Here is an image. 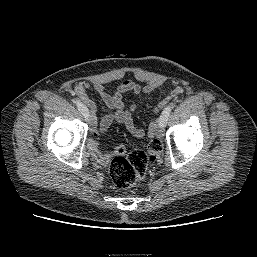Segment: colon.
<instances>
[{
    "label": "colon",
    "instance_id": "5ec220e1",
    "mask_svg": "<svg viewBox=\"0 0 257 257\" xmlns=\"http://www.w3.org/2000/svg\"><path fill=\"white\" fill-rule=\"evenodd\" d=\"M90 152L97 161L106 160L94 142L90 144ZM160 152L161 144L157 140H153L144 150L128 152L123 145L116 147L110 164V175L115 186L125 189L137 185L144 178L149 164Z\"/></svg>",
    "mask_w": 257,
    "mask_h": 257
}]
</instances>
